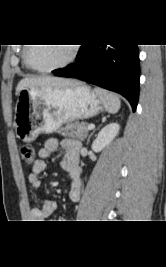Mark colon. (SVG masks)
Listing matches in <instances>:
<instances>
[{"label":"colon","mask_w":166,"mask_h":267,"mask_svg":"<svg viewBox=\"0 0 166 267\" xmlns=\"http://www.w3.org/2000/svg\"><path fill=\"white\" fill-rule=\"evenodd\" d=\"M20 157L27 163L35 160V149L31 145H22L20 147Z\"/></svg>","instance_id":"obj_1"}]
</instances>
